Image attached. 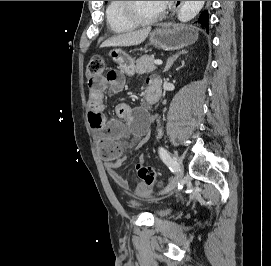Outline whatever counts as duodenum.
Masks as SVG:
<instances>
[{
  "label": "duodenum",
  "mask_w": 271,
  "mask_h": 266,
  "mask_svg": "<svg viewBox=\"0 0 271 266\" xmlns=\"http://www.w3.org/2000/svg\"><path fill=\"white\" fill-rule=\"evenodd\" d=\"M161 95L160 87L154 83H151L146 92V101L149 104L155 103Z\"/></svg>",
  "instance_id": "410a0bca"
}]
</instances>
